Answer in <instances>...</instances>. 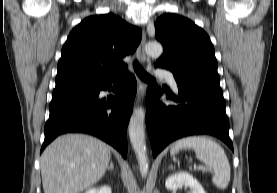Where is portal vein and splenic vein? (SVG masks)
I'll list each match as a JSON object with an SVG mask.
<instances>
[{
    "instance_id": "1",
    "label": "portal vein and splenic vein",
    "mask_w": 277,
    "mask_h": 193,
    "mask_svg": "<svg viewBox=\"0 0 277 193\" xmlns=\"http://www.w3.org/2000/svg\"><path fill=\"white\" fill-rule=\"evenodd\" d=\"M194 170H210V169L206 166L199 165V166L195 167Z\"/></svg>"
}]
</instances>
